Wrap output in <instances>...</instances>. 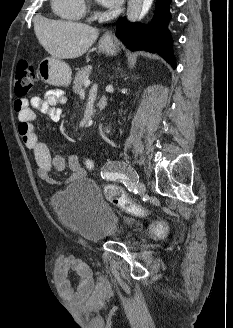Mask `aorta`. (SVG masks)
I'll list each match as a JSON object with an SVG mask.
<instances>
[{
    "label": "aorta",
    "instance_id": "762f6f07",
    "mask_svg": "<svg viewBox=\"0 0 233 328\" xmlns=\"http://www.w3.org/2000/svg\"><path fill=\"white\" fill-rule=\"evenodd\" d=\"M153 0H129L127 8V18L135 21L142 18L150 9Z\"/></svg>",
    "mask_w": 233,
    "mask_h": 328
}]
</instances>
